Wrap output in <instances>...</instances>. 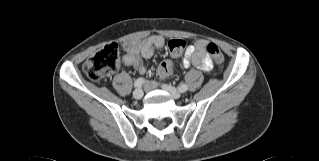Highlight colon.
<instances>
[{"instance_id": "obj_1", "label": "colon", "mask_w": 319, "mask_h": 161, "mask_svg": "<svg viewBox=\"0 0 319 161\" xmlns=\"http://www.w3.org/2000/svg\"><path fill=\"white\" fill-rule=\"evenodd\" d=\"M186 43L183 41L170 40L168 42V50L172 55L178 54ZM207 52L222 67L224 64L223 54L219 46L213 42H210L206 46ZM120 65V57L118 53V46L116 44H110L91 56L84 64V72L86 75L95 81L108 77L113 73ZM171 66L168 63H163L159 68V73H163Z\"/></svg>"}]
</instances>
